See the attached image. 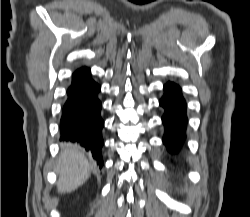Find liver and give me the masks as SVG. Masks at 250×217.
<instances>
[{
    "label": "liver",
    "instance_id": "obj_1",
    "mask_svg": "<svg viewBox=\"0 0 250 217\" xmlns=\"http://www.w3.org/2000/svg\"><path fill=\"white\" fill-rule=\"evenodd\" d=\"M91 166L86 156L74 145H65L61 151L56 172L59 175L57 188L60 193H68L89 177Z\"/></svg>",
    "mask_w": 250,
    "mask_h": 217
}]
</instances>
